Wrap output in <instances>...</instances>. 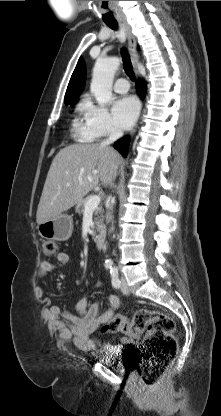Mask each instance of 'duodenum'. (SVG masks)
Masks as SVG:
<instances>
[{
    "label": "duodenum",
    "mask_w": 221,
    "mask_h": 416,
    "mask_svg": "<svg viewBox=\"0 0 221 416\" xmlns=\"http://www.w3.org/2000/svg\"><path fill=\"white\" fill-rule=\"evenodd\" d=\"M106 240V229L103 226L99 227L97 236H96V246L98 249H102Z\"/></svg>",
    "instance_id": "410a0bca"
}]
</instances>
